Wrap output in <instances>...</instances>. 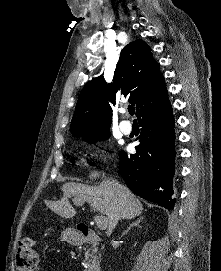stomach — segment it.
I'll list each match as a JSON object with an SVG mask.
<instances>
[{
  "mask_svg": "<svg viewBox=\"0 0 221 271\" xmlns=\"http://www.w3.org/2000/svg\"><path fill=\"white\" fill-rule=\"evenodd\" d=\"M62 238H81V233L79 230H64Z\"/></svg>",
  "mask_w": 221,
  "mask_h": 271,
  "instance_id": "1",
  "label": "stomach"
}]
</instances>
